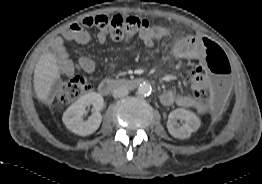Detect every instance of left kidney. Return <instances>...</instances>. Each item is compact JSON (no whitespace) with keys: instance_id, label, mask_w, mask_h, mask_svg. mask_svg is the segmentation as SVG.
Segmentation results:
<instances>
[{"instance_id":"5707ae66","label":"left kidney","mask_w":262,"mask_h":184,"mask_svg":"<svg viewBox=\"0 0 262 184\" xmlns=\"http://www.w3.org/2000/svg\"><path fill=\"white\" fill-rule=\"evenodd\" d=\"M177 120L184 123L179 126ZM200 125L201 120L195 113L182 108L173 110L168 116L167 129L173 137L178 139L189 138L193 132L199 129Z\"/></svg>"}]
</instances>
